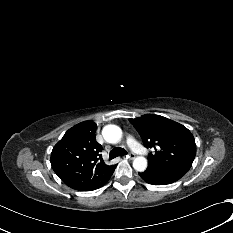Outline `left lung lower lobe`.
Listing matches in <instances>:
<instances>
[{
    "label": "left lung lower lobe",
    "mask_w": 233,
    "mask_h": 233,
    "mask_svg": "<svg viewBox=\"0 0 233 233\" xmlns=\"http://www.w3.org/2000/svg\"><path fill=\"white\" fill-rule=\"evenodd\" d=\"M139 175L144 181L152 185H167V184L175 182L148 168L144 172L139 173Z\"/></svg>",
    "instance_id": "obj_1"
}]
</instances>
